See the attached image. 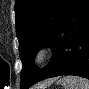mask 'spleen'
<instances>
[{
    "label": "spleen",
    "mask_w": 89,
    "mask_h": 89,
    "mask_svg": "<svg viewBox=\"0 0 89 89\" xmlns=\"http://www.w3.org/2000/svg\"><path fill=\"white\" fill-rule=\"evenodd\" d=\"M59 83L64 89H89V81L78 76H66Z\"/></svg>",
    "instance_id": "spleen-1"
}]
</instances>
